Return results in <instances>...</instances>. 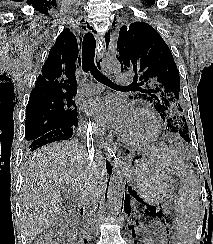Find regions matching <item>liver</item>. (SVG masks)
Masks as SVG:
<instances>
[{
	"label": "liver",
	"mask_w": 213,
	"mask_h": 244,
	"mask_svg": "<svg viewBox=\"0 0 213 244\" xmlns=\"http://www.w3.org/2000/svg\"><path fill=\"white\" fill-rule=\"evenodd\" d=\"M105 165L100 153L90 157L87 149L71 141L56 142L33 153L23 172L22 220L31 241L50 227L62 213L61 190L79 206L87 196L104 190Z\"/></svg>",
	"instance_id": "liver-1"
}]
</instances>
